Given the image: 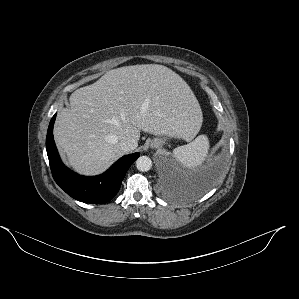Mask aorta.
I'll return each mask as SVG.
<instances>
[{"mask_svg":"<svg viewBox=\"0 0 299 299\" xmlns=\"http://www.w3.org/2000/svg\"><path fill=\"white\" fill-rule=\"evenodd\" d=\"M136 167L139 171L146 172L151 169L152 167V161L147 156H140L136 160Z\"/></svg>","mask_w":299,"mask_h":299,"instance_id":"obj_1","label":"aorta"}]
</instances>
